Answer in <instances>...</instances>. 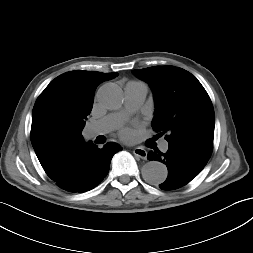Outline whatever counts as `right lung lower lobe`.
<instances>
[{
  "instance_id": "98d812e1",
  "label": "right lung lower lobe",
  "mask_w": 253,
  "mask_h": 253,
  "mask_svg": "<svg viewBox=\"0 0 253 253\" xmlns=\"http://www.w3.org/2000/svg\"><path fill=\"white\" fill-rule=\"evenodd\" d=\"M122 148L113 142L99 149L92 142L73 151L64 168L63 178L56 184L69 192H86L106 177L113 155Z\"/></svg>"
}]
</instances>
